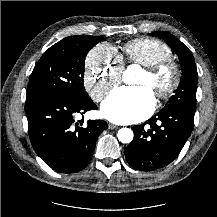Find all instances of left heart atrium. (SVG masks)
<instances>
[{"label":"left heart atrium","instance_id":"39dd6f15","mask_svg":"<svg viewBox=\"0 0 217 217\" xmlns=\"http://www.w3.org/2000/svg\"><path fill=\"white\" fill-rule=\"evenodd\" d=\"M154 108L152 91L145 86H126L115 89L104 100L102 114L112 122L126 124L146 118Z\"/></svg>","mask_w":217,"mask_h":217}]
</instances>
